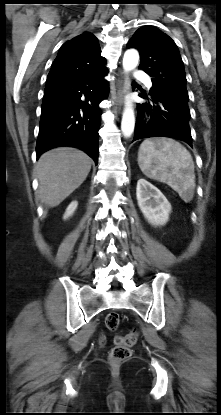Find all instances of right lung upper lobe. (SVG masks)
<instances>
[{
	"instance_id": "cb5924a9",
	"label": "right lung upper lobe",
	"mask_w": 221,
	"mask_h": 415,
	"mask_svg": "<svg viewBox=\"0 0 221 415\" xmlns=\"http://www.w3.org/2000/svg\"><path fill=\"white\" fill-rule=\"evenodd\" d=\"M105 64L106 60L101 56L98 39L86 32L62 45L46 83L96 75L107 70Z\"/></svg>"
}]
</instances>
